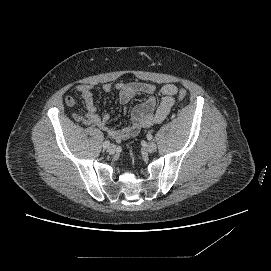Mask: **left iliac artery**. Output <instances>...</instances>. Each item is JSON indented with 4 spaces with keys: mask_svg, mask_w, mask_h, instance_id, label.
<instances>
[{
    "mask_svg": "<svg viewBox=\"0 0 271 271\" xmlns=\"http://www.w3.org/2000/svg\"><path fill=\"white\" fill-rule=\"evenodd\" d=\"M152 138H153L152 134H151V133H148V134H147V139H148V140H151Z\"/></svg>",
    "mask_w": 271,
    "mask_h": 271,
    "instance_id": "obj_1",
    "label": "left iliac artery"
}]
</instances>
